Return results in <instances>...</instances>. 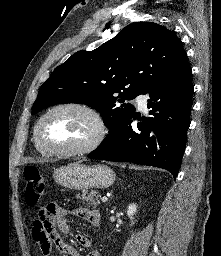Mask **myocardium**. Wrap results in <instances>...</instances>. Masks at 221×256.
I'll return each instance as SVG.
<instances>
[{
  "instance_id": "obj_1",
  "label": "myocardium",
  "mask_w": 221,
  "mask_h": 256,
  "mask_svg": "<svg viewBox=\"0 0 221 256\" xmlns=\"http://www.w3.org/2000/svg\"><path fill=\"white\" fill-rule=\"evenodd\" d=\"M61 109H77L83 111L91 117L95 124V133L87 143L76 148H54L46 145L43 142L41 137V127L44 121L51 114ZM107 133L108 127L106 121L102 114L96 108L82 102H66L53 106L40 117L34 128V140L37 146L48 154L61 156H75L90 153L96 148H98L105 140Z\"/></svg>"
}]
</instances>
